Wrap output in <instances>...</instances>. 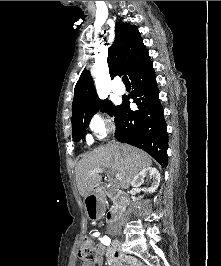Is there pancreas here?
Returning a JSON list of instances; mask_svg holds the SVG:
<instances>
[{"instance_id": "pancreas-1", "label": "pancreas", "mask_w": 221, "mask_h": 266, "mask_svg": "<svg viewBox=\"0 0 221 266\" xmlns=\"http://www.w3.org/2000/svg\"><path fill=\"white\" fill-rule=\"evenodd\" d=\"M115 206L117 207V206H118V204H117V203H115Z\"/></svg>"}]
</instances>
